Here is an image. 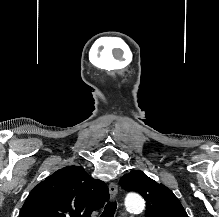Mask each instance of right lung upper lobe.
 Returning a JSON list of instances; mask_svg holds the SVG:
<instances>
[{"label": "right lung upper lobe", "instance_id": "obj_1", "mask_svg": "<svg viewBox=\"0 0 219 217\" xmlns=\"http://www.w3.org/2000/svg\"><path fill=\"white\" fill-rule=\"evenodd\" d=\"M108 199L104 182L81 166H67L33 188L19 217H90Z\"/></svg>", "mask_w": 219, "mask_h": 217}]
</instances>
